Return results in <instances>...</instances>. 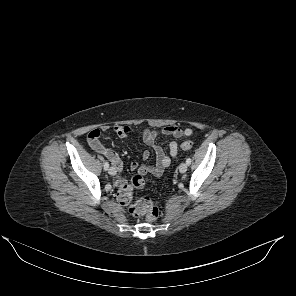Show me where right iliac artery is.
<instances>
[{
  "label": "right iliac artery",
  "mask_w": 296,
  "mask_h": 296,
  "mask_svg": "<svg viewBox=\"0 0 296 296\" xmlns=\"http://www.w3.org/2000/svg\"><path fill=\"white\" fill-rule=\"evenodd\" d=\"M108 168H109V163L106 161V162L104 163V169H105V170H108Z\"/></svg>",
  "instance_id": "82829eb1"
}]
</instances>
